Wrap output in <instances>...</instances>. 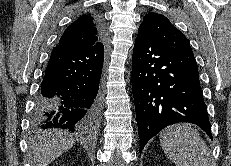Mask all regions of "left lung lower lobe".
I'll return each instance as SVG.
<instances>
[{
    "label": "left lung lower lobe",
    "instance_id": "left-lung-lower-lobe-1",
    "mask_svg": "<svg viewBox=\"0 0 231 166\" xmlns=\"http://www.w3.org/2000/svg\"><path fill=\"white\" fill-rule=\"evenodd\" d=\"M132 91L140 152L168 125H198L211 138L197 63L192 51L159 43L138 30L132 61Z\"/></svg>",
    "mask_w": 231,
    "mask_h": 166
}]
</instances>
